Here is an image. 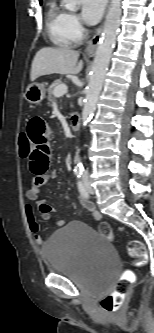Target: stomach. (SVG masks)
<instances>
[{
	"instance_id": "0dacf381",
	"label": "stomach",
	"mask_w": 154,
	"mask_h": 333,
	"mask_svg": "<svg viewBox=\"0 0 154 333\" xmlns=\"http://www.w3.org/2000/svg\"><path fill=\"white\" fill-rule=\"evenodd\" d=\"M45 97V88L43 84L32 83L28 85L25 92V99L31 104H39Z\"/></svg>"
}]
</instances>
